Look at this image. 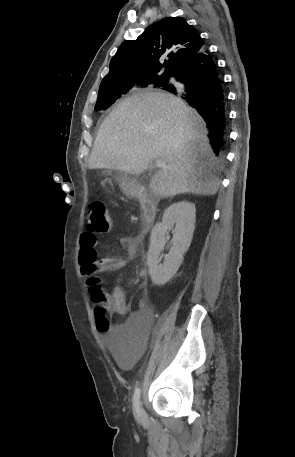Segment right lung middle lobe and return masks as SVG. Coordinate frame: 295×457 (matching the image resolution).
<instances>
[{
  "label": "right lung middle lobe",
  "mask_w": 295,
  "mask_h": 457,
  "mask_svg": "<svg viewBox=\"0 0 295 457\" xmlns=\"http://www.w3.org/2000/svg\"><path fill=\"white\" fill-rule=\"evenodd\" d=\"M169 78L170 76L150 78L144 82H141L138 86H147L149 84H152L154 85V87H159L165 90L170 86ZM135 87L137 86H130L125 89L123 88L116 90L100 91L98 94L97 103L95 105V110L99 111L109 108L117 99H119L122 95L126 94L129 90Z\"/></svg>",
  "instance_id": "right-lung-middle-lobe-1"
}]
</instances>
